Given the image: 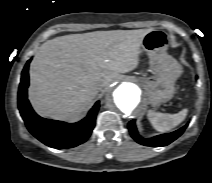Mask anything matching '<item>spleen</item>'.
I'll return each mask as SVG.
<instances>
[{
  "label": "spleen",
  "mask_w": 212,
  "mask_h": 183,
  "mask_svg": "<svg viewBox=\"0 0 212 183\" xmlns=\"http://www.w3.org/2000/svg\"><path fill=\"white\" fill-rule=\"evenodd\" d=\"M187 113V109H183L176 114L159 113L149 110L147 116L154 129L159 132H167L183 122Z\"/></svg>",
  "instance_id": "1"
}]
</instances>
